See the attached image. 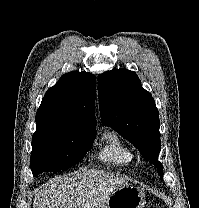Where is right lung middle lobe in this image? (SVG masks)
<instances>
[{
  "label": "right lung middle lobe",
  "instance_id": "obj_1",
  "mask_svg": "<svg viewBox=\"0 0 199 208\" xmlns=\"http://www.w3.org/2000/svg\"><path fill=\"white\" fill-rule=\"evenodd\" d=\"M95 136V127L37 124L30 158L33 175L72 167L91 149Z\"/></svg>",
  "mask_w": 199,
  "mask_h": 208
}]
</instances>
